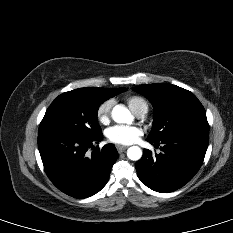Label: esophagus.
Returning <instances> with one entry per match:
<instances>
[{
  "instance_id": "1",
  "label": "esophagus",
  "mask_w": 233,
  "mask_h": 233,
  "mask_svg": "<svg viewBox=\"0 0 233 233\" xmlns=\"http://www.w3.org/2000/svg\"><path fill=\"white\" fill-rule=\"evenodd\" d=\"M116 148H117V151L121 153L127 149V146L117 145Z\"/></svg>"
}]
</instances>
